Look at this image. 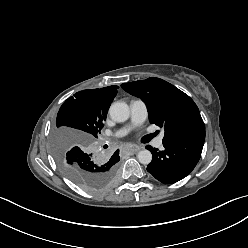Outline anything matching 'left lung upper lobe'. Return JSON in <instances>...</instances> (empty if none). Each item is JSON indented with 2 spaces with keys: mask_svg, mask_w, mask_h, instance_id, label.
Returning a JSON list of instances; mask_svg holds the SVG:
<instances>
[{
  "mask_svg": "<svg viewBox=\"0 0 248 248\" xmlns=\"http://www.w3.org/2000/svg\"><path fill=\"white\" fill-rule=\"evenodd\" d=\"M121 87L145 102L150 122L164 128L163 143L185 134L205 131L197 105L172 84L153 77L124 83Z\"/></svg>",
  "mask_w": 248,
  "mask_h": 248,
  "instance_id": "left-lung-upper-lobe-1",
  "label": "left lung upper lobe"
}]
</instances>
